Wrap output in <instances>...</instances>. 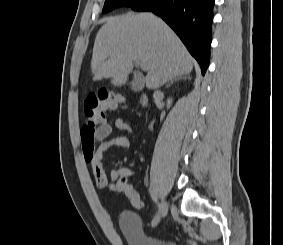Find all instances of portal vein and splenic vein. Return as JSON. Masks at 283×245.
Instances as JSON below:
<instances>
[{"label":"portal vein and splenic vein","instance_id":"1","mask_svg":"<svg viewBox=\"0 0 283 245\" xmlns=\"http://www.w3.org/2000/svg\"><path fill=\"white\" fill-rule=\"evenodd\" d=\"M137 64H138V65L140 66V68H141L142 70H144V71H146V70L148 69L146 63H144V62H138Z\"/></svg>","mask_w":283,"mask_h":245}]
</instances>
